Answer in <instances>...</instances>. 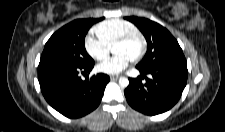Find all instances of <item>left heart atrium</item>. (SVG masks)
<instances>
[{
	"label": "left heart atrium",
	"instance_id": "1",
	"mask_svg": "<svg viewBox=\"0 0 225 132\" xmlns=\"http://www.w3.org/2000/svg\"><path fill=\"white\" fill-rule=\"evenodd\" d=\"M132 61L127 54H116L112 58L98 65V70L104 74L116 75L121 73Z\"/></svg>",
	"mask_w": 225,
	"mask_h": 132
}]
</instances>
